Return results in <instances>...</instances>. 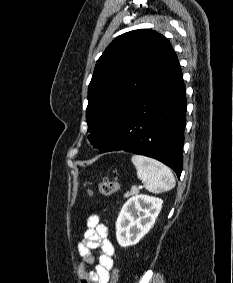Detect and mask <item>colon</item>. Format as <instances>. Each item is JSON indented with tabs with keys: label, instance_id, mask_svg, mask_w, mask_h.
I'll use <instances>...</instances> for the list:
<instances>
[{
	"label": "colon",
	"instance_id": "1",
	"mask_svg": "<svg viewBox=\"0 0 233 283\" xmlns=\"http://www.w3.org/2000/svg\"><path fill=\"white\" fill-rule=\"evenodd\" d=\"M120 183L115 180L103 179L98 183L99 191L102 195L109 196L120 191ZM87 193L91 195V191L87 190ZM119 272L117 268H114L111 272L110 283H117Z\"/></svg>",
	"mask_w": 233,
	"mask_h": 283
}]
</instances>
